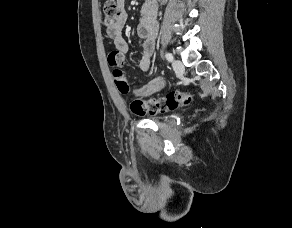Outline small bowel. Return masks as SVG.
Wrapping results in <instances>:
<instances>
[{
    "label": "small bowel",
    "mask_w": 292,
    "mask_h": 228,
    "mask_svg": "<svg viewBox=\"0 0 292 228\" xmlns=\"http://www.w3.org/2000/svg\"><path fill=\"white\" fill-rule=\"evenodd\" d=\"M120 8L121 16L119 22L114 26L106 28L107 36L112 40L116 52L124 59L125 54L129 51V45L123 37L122 29L125 24L127 13L125 10V0H116ZM158 31L157 22V6L152 1H146L141 6L140 21L137 25V35L142 40L140 49V59L138 61V69L141 72H146L150 68L151 57L154 51L155 39ZM162 77H156L144 85L138 94L141 97H149L164 87Z\"/></svg>",
    "instance_id": "1"
}]
</instances>
